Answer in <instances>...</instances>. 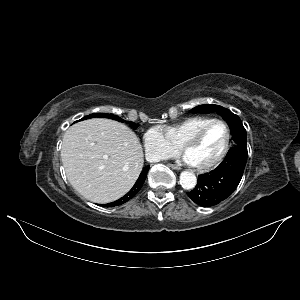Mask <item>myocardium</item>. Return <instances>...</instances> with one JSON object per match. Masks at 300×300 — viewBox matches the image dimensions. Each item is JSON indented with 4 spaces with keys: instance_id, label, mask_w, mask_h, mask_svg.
I'll use <instances>...</instances> for the list:
<instances>
[{
    "instance_id": "myocardium-1",
    "label": "myocardium",
    "mask_w": 300,
    "mask_h": 300,
    "mask_svg": "<svg viewBox=\"0 0 300 300\" xmlns=\"http://www.w3.org/2000/svg\"><path fill=\"white\" fill-rule=\"evenodd\" d=\"M216 124H220V125L224 126V128L226 129V142H225L224 148H223L221 154L212 162L204 164V165L192 164V166L198 171L212 170L215 167H217L218 165H220L224 161V159L227 157L229 149H230V143H231V131H230L228 124L222 120L213 119L212 121L208 122L207 124H205L204 126L199 128L182 145V151L186 154L190 148H192L193 146H195L196 144H198L200 142V140L203 138V136L207 132V130L211 126L216 125Z\"/></svg>"
}]
</instances>
